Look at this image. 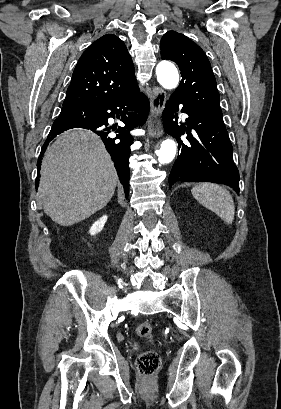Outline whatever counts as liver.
<instances>
[{"mask_svg": "<svg viewBox=\"0 0 281 409\" xmlns=\"http://www.w3.org/2000/svg\"><path fill=\"white\" fill-rule=\"evenodd\" d=\"M38 194L44 213L70 227L108 205L117 172L92 130H68L45 152Z\"/></svg>", "mask_w": 281, "mask_h": 409, "instance_id": "obj_1", "label": "liver"}]
</instances>
